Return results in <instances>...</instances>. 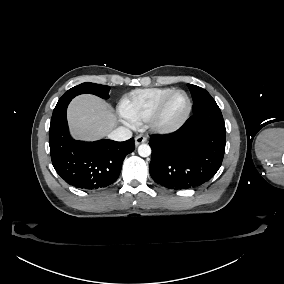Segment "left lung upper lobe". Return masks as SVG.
Instances as JSON below:
<instances>
[{
	"label": "left lung upper lobe",
	"mask_w": 284,
	"mask_h": 284,
	"mask_svg": "<svg viewBox=\"0 0 284 284\" xmlns=\"http://www.w3.org/2000/svg\"><path fill=\"white\" fill-rule=\"evenodd\" d=\"M187 86L193 98V113L210 107H218L215 100L205 89L191 84H187Z\"/></svg>",
	"instance_id": "left-lung-upper-lobe-1"
}]
</instances>
